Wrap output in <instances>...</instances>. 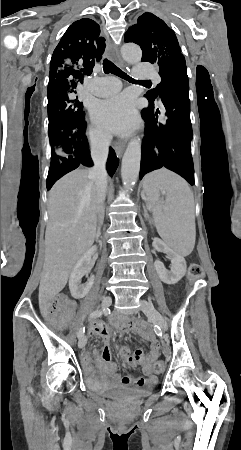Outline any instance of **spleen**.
I'll return each mask as SVG.
<instances>
[{
  "instance_id": "spleen-1",
  "label": "spleen",
  "mask_w": 241,
  "mask_h": 450,
  "mask_svg": "<svg viewBox=\"0 0 241 450\" xmlns=\"http://www.w3.org/2000/svg\"><path fill=\"white\" fill-rule=\"evenodd\" d=\"M166 192L165 206L158 204ZM143 194L153 202L157 232L178 256H189L195 246L194 196L185 180L170 170H155L143 180Z\"/></svg>"
}]
</instances>
